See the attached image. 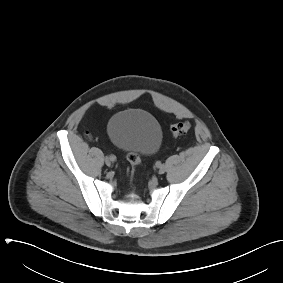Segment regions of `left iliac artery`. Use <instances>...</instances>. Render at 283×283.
Returning a JSON list of instances; mask_svg holds the SVG:
<instances>
[{"label":"left iliac artery","instance_id":"1","mask_svg":"<svg viewBox=\"0 0 283 283\" xmlns=\"http://www.w3.org/2000/svg\"><path fill=\"white\" fill-rule=\"evenodd\" d=\"M161 165H162V163H161L160 161H157V162H156V166H157V167H159V166H161Z\"/></svg>","mask_w":283,"mask_h":283}]
</instances>
